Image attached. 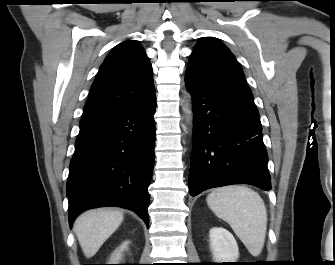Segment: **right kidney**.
Returning a JSON list of instances; mask_svg holds the SVG:
<instances>
[{
    "instance_id": "1",
    "label": "right kidney",
    "mask_w": 335,
    "mask_h": 265,
    "mask_svg": "<svg viewBox=\"0 0 335 265\" xmlns=\"http://www.w3.org/2000/svg\"><path fill=\"white\" fill-rule=\"evenodd\" d=\"M128 242H124L121 246L119 250H116L115 253L112 256V260L111 261H118L121 256H122V252L127 248ZM116 263V262H113Z\"/></svg>"
}]
</instances>
